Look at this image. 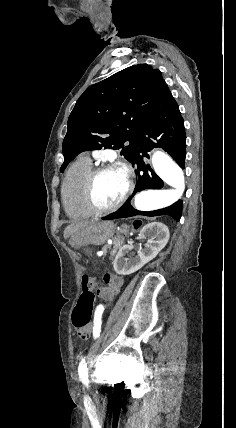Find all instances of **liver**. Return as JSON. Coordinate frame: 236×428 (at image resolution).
Listing matches in <instances>:
<instances>
[{
	"label": "liver",
	"mask_w": 236,
	"mask_h": 428,
	"mask_svg": "<svg viewBox=\"0 0 236 428\" xmlns=\"http://www.w3.org/2000/svg\"><path fill=\"white\" fill-rule=\"evenodd\" d=\"M86 224H90V222H75V224H70V226H67L64 230V238H73V236H78Z\"/></svg>",
	"instance_id": "1"
}]
</instances>
